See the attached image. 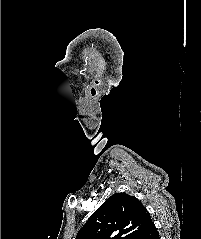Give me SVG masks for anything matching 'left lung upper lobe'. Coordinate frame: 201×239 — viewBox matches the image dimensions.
Returning a JSON list of instances; mask_svg holds the SVG:
<instances>
[{"mask_svg":"<svg viewBox=\"0 0 201 239\" xmlns=\"http://www.w3.org/2000/svg\"><path fill=\"white\" fill-rule=\"evenodd\" d=\"M151 222L147 209L134 196H110L79 230L76 239H138Z\"/></svg>","mask_w":201,"mask_h":239,"instance_id":"obj_1","label":"left lung upper lobe"}]
</instances>
